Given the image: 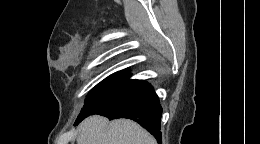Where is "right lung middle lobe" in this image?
I'll return each instance as SVG.
<instances>
[{
	"label": "right lung middle lobe",
	"instance_id": "dd1d6c3e",
	"mask_svg": "<svg viewBox=\"0 0 260 144\" xmlns=\"http://www.w3.org/2000/svg\"><path fill=\"white\" fill-rule=\"evenodd\" d=\"M130 76L127 71L116 72L96 85L88 94L77 119L88 116L94 109L121 91L132 81L129 79Z\"/></svg>",
	"mask_w": 260,
	"mask_h": 144
}]
</instances>
